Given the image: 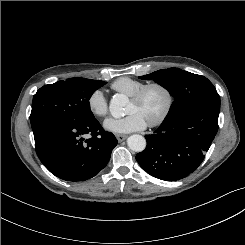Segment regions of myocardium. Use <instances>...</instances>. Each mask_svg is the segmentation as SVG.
I'll list each match as a JSON object with an SVG mask.
<instances>
[{
	"instance_id": "obj_1",
	"label": "myocardium",
	"mask_w": 245,
	"mask_h": 245,
	"mask_svg": "<svg viewBox=\"0 0 245 245\" xmlns=\"http://www.w3.org/2000/svg\"><path fill=\"white\" fill-rule=\"evenodd\" d=\"M153 89H158L164 94L165 105H164L162 112L156 118L147 122V125L149 127H156L162 124L166 120V118L169 116L173 108V105H174V95H173L172 90L165 84H162L159 82H152V83L145 84L136 93L130 96V100L135 103H140L144 100L148 92Z\"/></svg>"
}]
</instances>
